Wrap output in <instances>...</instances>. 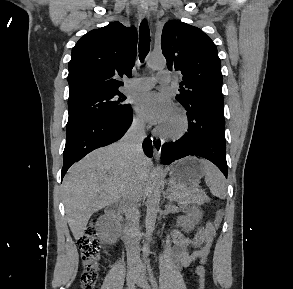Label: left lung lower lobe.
<instances>
[{"instance_id":"obj_1","label":"left lung lower lobe","mask_w":293,"mask_h":289,"mask_svg":"<svg viewBox=\"0 0 293 289\" xmlns=\"http://www.w3.org/2000/svg\"><path fill=\"white\" fill-rule=\"evenodd\" d=\"M187 110L188 132L178 141L162 146L164 164L200 156L214 163L227 178L225 120L223 107L204 101L183 106Z\"/></svg>"}]
</instances>
